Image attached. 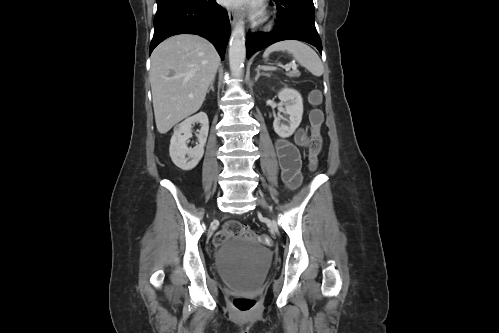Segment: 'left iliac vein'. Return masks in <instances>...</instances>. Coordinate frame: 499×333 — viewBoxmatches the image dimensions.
Listing matches in <instances>:
<instances>
[{"instance_id":"obj_1","label":"left iliac vein","mask_w":499,"mask_h":333,"mask_svg":"<svg viewBox=\"0 0 499 333\" xmlns=\"http://www.w3.org/2000/svg\"><path fill=\"white\" fill-rule=\"evenodd\" d=\"M259 203L262 205V206H266V202L263 198H259Z\"/></svg>"}]
</instances>
